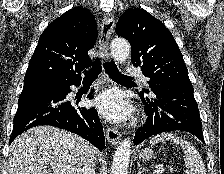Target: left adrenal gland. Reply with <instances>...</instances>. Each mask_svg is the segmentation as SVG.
I'll return each instance as SVG.
<instances>
[{"mask_svg":"<svg viewBox=\"0 0 224 174\" xmlns=\"http://www.w3.org/2000/svg\"><path fill=\"white\" fill-rule=\"evenodd\" d=\"M147 171L145 168L142 167V165L138 164V174H141L142 172Z\"/></svg>","mask_w":224,"mask_h":174,"instance_id":"a2214340","label":"left adrenal gland"}]
</instances>
